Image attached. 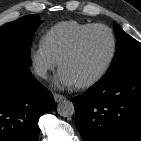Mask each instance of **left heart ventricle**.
<instances>
[{
  "label": "left heart ventricle",
  "mask_w": 141,
  "mask_h": 141,
  "mask_svg": "<svg viewBox=\"0 0 141 141\" xmlns=\"http://www.w3.org/2000/svg\"><path fill=\"white\" fill-rule=\"evenodd\" d=\"M111 51V38L107 31L96 29L82 41L77 51L62 64L74 84L96 75L107 61Z\"/></svg>",
  "instance_id": "b2bd125f"
}]
</instances>
